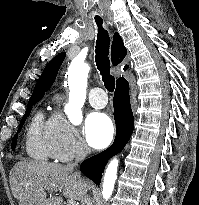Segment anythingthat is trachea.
Wrapping results in <instances>:
<instances>
[{
    "instance_id": "1",
    "label": "trachea",
    "mask_w": 199,
    "mask_h": 205,
    "mask_svg": "<svg viewBox=\"0 0 199 205\" xmlns=\"http://www.w3.org/2000/svg\"><path fill=\"white\" fill-rule=\"evenodd\" d=\"M95 21L98 26L95 62L98 70L100 71V74L102 75V80L104 82L105 88L109 92H113L115 88V78L110 74V60L108 57L110 37L108 35V32L102 28V18L96 16Z\"/></svg>"
}]
</instances>
